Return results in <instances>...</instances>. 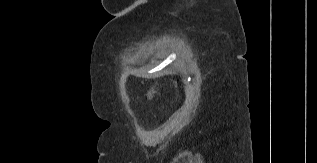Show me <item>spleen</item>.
<instances>
[{
	"mask_svg": "<svg viewBox=\"0 0 317 163\" xmlns=\"http://www.w3.org/2000/svg\"><path fill=\"white\" fill-rule=\"evenodd\" d=\"M152 93H154V91L152 90ZM149 95H151V92L149 93Z\"/></svg>",
	"mask_w": 317,
	"mask_h": 163,
	"instance_id": "1",
	"label": "spleen"
}]
</instances>
